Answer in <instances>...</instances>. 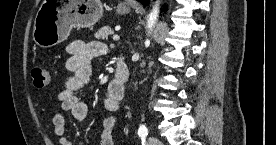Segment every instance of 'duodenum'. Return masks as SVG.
<instances>
[{
  "mask_svg": "<svg viewBox=\"0 0 276 145\" xmlns=\"http://www.w3.org/2000/svg\"><path fill=\"white\" fill-rule=\"evenodd\" d=\"M129 79V68L123 57L116 61V78L113 80L114 87L121 93H124L126 83Z\"/></svg>",
  "mask_w": 276,
  "mask_h": 145,
  "instance_id": "obj_1",
  "label": "duodenum"
}]
</instances>
